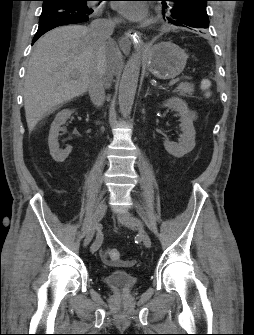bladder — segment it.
Returning <instances> with one entry per match:
<instances>
[{
  "mask_svg": "<svg viewBox=\"0 0 254 335\" xmlns=\"http://www.w3.org/2000/svg\"><path fill=\"white\" fill-rule=\"evenodd\" d=\"M105 283L116 291L130 290L136 283L133 272L127 270H112L104 278Z\"/></svg>",
  "mask_w": 254,
  "mask_h": 335,
  "instance_id": "bladder-1",
  "label": "bladder"
}]
</instances>
